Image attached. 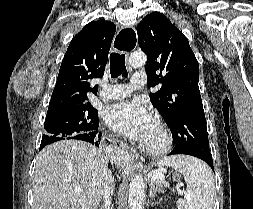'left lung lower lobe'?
I'll return each mask as SVG.
<instances>
[{
	"instance_id": "left-lung-lower-lobe-1",
	"label": "left lung lower lobe",
	"mask_w": 253,
	"mask_h": 209,
	"mask_svg": "<svg viewBox=\"0 0 253 209\" xmlns=\"http://www.w3.org/2000/svg\"><path fill=\"white\" fill-rule=\"evenodd\" d=\"M174 154H180V153H175L174 151H171L170 155H174ZM188 155H192L195 156L197 158L202 159L203 161H205L214 171V167H213V162H212V157L211 156H205V155H198V154H188Z\"/></svg>"
}]
</instances>
